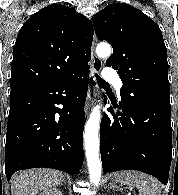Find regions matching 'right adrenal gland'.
I'll return each instance as SVG.
<instances>
[{
  "label": "right adrenal gland",
  "instance_id": "1",
  "mask_svg": "<svg viewBox=\"0 0 178 195\" xmlns=\"http://www.w3.org/2000/svg\"><path fill=\"white\" fill-rule=\"evenodd\" d=\"M67 182H66V180L65 179H63V184H66Z\"/></svg>",
  "mask_w": 178,
  "mask_h": 195
}]
</instances>
